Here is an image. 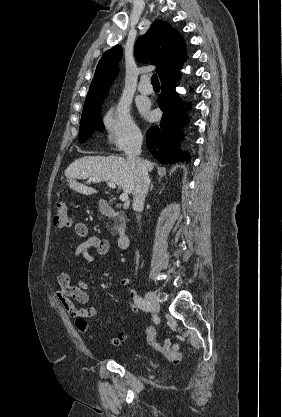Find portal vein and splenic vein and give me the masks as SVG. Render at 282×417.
Segmentation results:
<instances>
[{
    "mask_svg": "<svg viewBox=\"0 0 282 417\" xmlns=\"http://www.w3.org/2000/svg\"><path fill=\"white\" fill-rule=\"evenodd\" d=\"M102 178H89V182H101ZM108 186H111V188H116V184L114 182H107ZM120 200H128V194L127 192H122L119 196Z\"/></svg>",
    "mask_w": 282,
    "mask_h": 417,
    "instance_id": "1",
    "label": "portal vein and splenic vein"
}]
</instances>
